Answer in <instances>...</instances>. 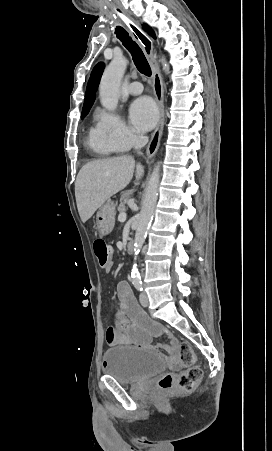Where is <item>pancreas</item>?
Here are the masks:
<instances>
[{"instance_id":"pancreas-1","label":"pancreas","mask_w":272,"mask_h":451,"mask_svg":"<svg viewBox=\"0 0 272 451\" xmlns=\"http://www.w3.org/2000/svg\"><path fill=\"white\" fill-rule=\"evenodd\" d=\"M124 198H129V194H123L121 200H124ZM118 212H120V214H122V212H126L125 202H121V204H119Z\"/></svg>"}]
</instances>
